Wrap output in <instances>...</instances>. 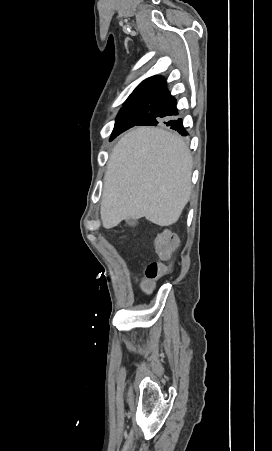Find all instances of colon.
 <instances>
[{"label": "colon", "instance_id": "colon-1", "mask_svg": "<svg viewBox=\"0 0 272 451\" xmlns=\"http://www.w3.org/2000/svg\"><path fill=\"white\" fill-rule=\"evenodd\" d=\"M178 243V237L165 230L163 235L159 237V242L156 243V246L161 256H165L167 260H172L174 253L170 249L177 247ZM172 269L173 264L171 262H164L162 268L157 262H152L145 266L144 274H133L132 281L133 283H143L145 289H155L160 282V278H165L167 275L166 271H171Z\"/></svg>", "mask_w": 272, "mask_h": 451}]
</instances>
